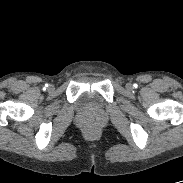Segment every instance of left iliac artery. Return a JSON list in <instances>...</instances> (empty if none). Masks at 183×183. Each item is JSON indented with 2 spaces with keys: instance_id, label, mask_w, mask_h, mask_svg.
Here are the masks:
<instances>
[{
  "instance_id": "44dca946",
  "label": "left iliac artery",
  "mask_w": 183,
  "mask_h": 183,
  "mask_svg": "<svg viewBox=\"0 0 183 183\" xmlns=\"http://www.w3.org/2000/svg\"><path fill=\"white\" fill-rule=\"evenodd\" d=\"M134 87L137 88V84H134Z\"/></svg>"
}]
</instances>
